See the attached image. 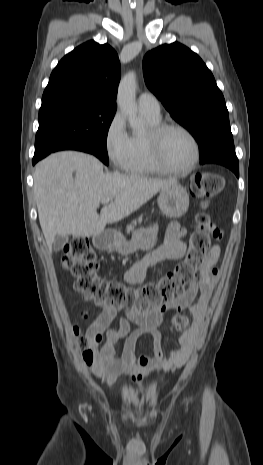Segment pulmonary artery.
<instances>
[{
  "mask_svg": "<svg viewBox=\"0 0 263 465\" xmlns=\"http://www.w3.org/2000/svg\"><path fill=\"white\" fill-rule=\"evenodd\" d=\"M138 107L142 114L155 118L161 116V106L158 99L149 92L141 93L138 97Z\"/></svg>",
  "mask_w": 263,
  "mask_h": 465,
  "instance_id": "obj_1",
  "label": "pulmonary artery"
}]
</instances>
